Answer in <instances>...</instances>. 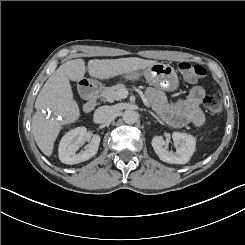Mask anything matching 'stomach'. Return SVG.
<instances>
[{"label":"stomach","mask_w":245,"mask_h":245,"mask_svg":"<svg viewBox=\"0 0 245 245\" xmlns=\"http://www.w3.org/2000/svg\"><path fill=\"white\" fill-rule=\"evenodd\" d=\"M120 79L127 82L138 81L141 77L156 88L163 90H173L177 86V75L169 64L154 63L136 70L124 72L117 75ZM101 82L95 78H87L79 81L78 89L92 91Z\"/></svg>","instance_id":"1"}]
</instances>
